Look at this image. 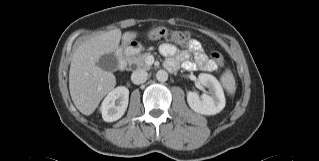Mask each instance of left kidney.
I'll return each instance as SVG.
<instances>
[{
  "mask_svg": "<svg viewBox=\"0 0 319 161\" xmlns=\"http://www.w3.org/2000/svg\"><path fill=\"white\" fill-rule=\"evenodd\" d=\"M202 86L209 88V94L199 96L198 93L187 92L190 108L203 115H215L225 107V96L219 81L210 74L201 73L198 77Z\"/></svg>",
  "mask_w": 319,
  "mask_h": 161,
  "instance_id": "1",
  "label": "left kidney"
}]
</instances>
